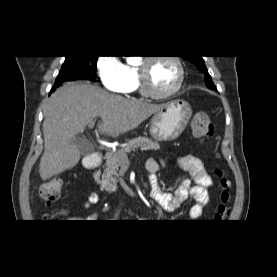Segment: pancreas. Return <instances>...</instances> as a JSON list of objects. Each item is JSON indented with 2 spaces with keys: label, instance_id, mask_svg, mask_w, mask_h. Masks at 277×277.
<instances>
[{
  "label": "pancreas",
  "instance_id": "1",
  "mask_svg": "<svg viewBox=\"0 0 277 277\" xmlns=\"http://www.w3.org/2000/svg\"><path fill=\"white\" fill-rule=\"evenodd\" d=\"M140 148L141 150H158L160 145L153 142L147 137H138L128 141V145L117 152L110 153L106 157V163L101 180L100 172L94 174L95 181L101 185V188L107 192H115L117 190L119 167L128 159L127 154Z\"/></svg>",
  "mask_w": 277,
  "mask_h": 277
}]
</instances>
